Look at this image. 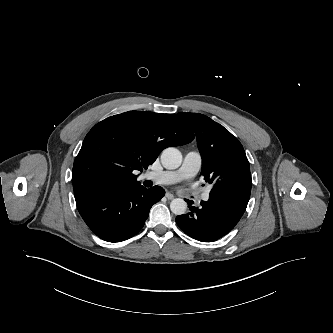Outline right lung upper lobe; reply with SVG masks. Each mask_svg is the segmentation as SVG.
<instances>
[{
	"instance_id": "cb5924a9",
	"label": "right lung upper lobe",
	"mask_w": 333,
	"mask_h": 333,
	"mask_svg": "<svg viewBox=\"0 0 333 333\" xmlns=\"http://www.w3.org/2000/svg\"><path fill=\"white\" fill-rule=\"evenodd\" d=\"M193 139L190 126L176 114L129 111L108 117L89 131L75 158L74 194L91 187H139L135 170L147 168L163 149Z\"/></svg>"
}]
</instances>
